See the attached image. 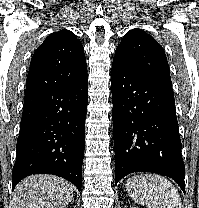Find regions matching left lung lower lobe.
Returning <instances> with one entry per match:
<instances>
[{"instance_id": "obj_1", "label": "left lung lower lobe", "mask_w": 199, "mask_h": 208, "mask_svg": "<svg viewBox=\"0 0 199 208\" xmlns=\"http://www.w3.org/2000/svg\"><path fill=\"white\" fill-rule=\"evenodd\" d=\"M111 88L115 184L132 172H153L174 179L185 192L172 86L113 61Z\"/></svg>"}]
</instances>
